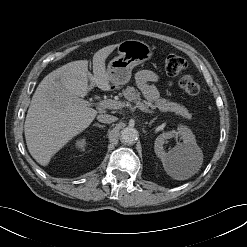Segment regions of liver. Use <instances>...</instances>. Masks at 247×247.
Returning <instances> with one entry per match:
<instances>
[{
    "mask_svg": "<svg viewBox=\"0 0 247 247\" xmlns=\"http://www.w3.org/2000/svg\"><path fill=\"white\" fill-rule=\"evenodd\" d=\"M117 45L98 50L93 56V74L88 61L67 63L49 73L36 88L24 125L25 139L31 156L42 166L69 140L86 129L98 111L82 100L94 85L111 89L105 60Z\"/></svg>",
    "mask_w": 247,
    "mask_h": 247,
    "instance_id": "6515ba94",
    "label": "liver"
}]
</instances>
